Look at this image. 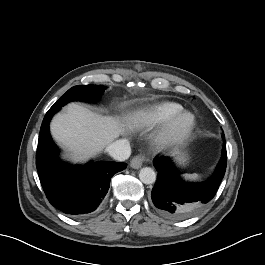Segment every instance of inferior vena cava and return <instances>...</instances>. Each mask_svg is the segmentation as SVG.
<instances>
[{"mask_svg":"<svg viewBox=\"0 0 265 265\" xmlns=\"http://www.w3.org/2000/svg\"><path fill=\"white\" fill-rule=\"evenodd\" d=\"M105 150L117 161H125L131 155V147L126 139H119L110 143Z\"/></svg>","mask_w":265,"mask_h":265,"instance_id":"obj_1","label":"inferior vena cava"}]
</instances>
